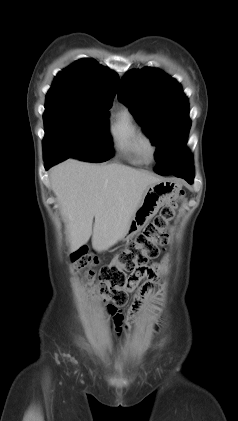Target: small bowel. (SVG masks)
<instances>
[{
  "instance_id": "obj_1",
  "label": "small bowel",
  "mask_w": 238,
  "mask_h": 421,
  "mask_svg": "<svg viewBox=\"0 0 238 421\" xmlns=\"http://www.w3.org/2000/svg\"><path fill=\"white\" fill-rule=\"evenodd\" d=\"M162 264H153L152 266H146L144 268H140L136 270L132 274V283L133 288L137 286L144 278L150 280V282L143 285L140 294L132 308V312L136 311L147 299H149L153 294L156 293L157 288L155 286V280L161 271ZM113 314H115V325L117 327V331H120L123 317L121 315L116 314L114 309L110 310Z\"/></svg>"
}]
</instances>
